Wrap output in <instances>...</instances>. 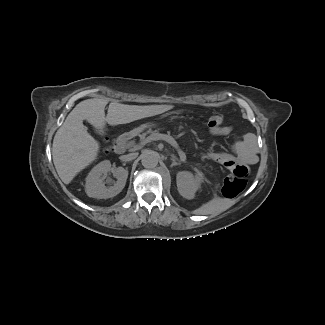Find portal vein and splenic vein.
<instances>
[{"label": "portal vein and splenic vein", "mask_w": 325, "mask_h": 325, "mask_svg": "<svg viewBox=\"0 0 325 325\" xmlns=\"http://www.w3.org/2000/svg\"><path fill=\"white\" fill-rule=\"evenodd\" d=\"M158 138L159 139H162V140L169 141L172 145H174L175 147L178 148L177 142L172 137L167 136V135H164V134H159L158 135ZM152 139L153 138H148V140L145 141L144 143L149 142V140H152ZM179 155H180L181 160H185L186 159V156H185L184 152H182L180 149H179Z\"/></svg>", "instance_id": "18ae733b"}]
</instances>
